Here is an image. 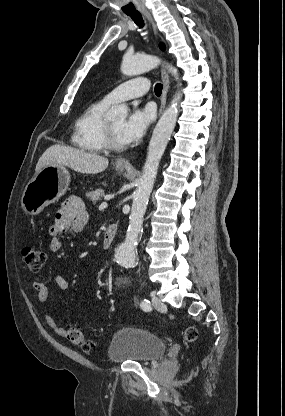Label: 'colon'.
<instances>
[{"label": "colon", "instance_id": "obj_1", "mask_svg": "<svg viewBox=\"0 0 285 416\" xmlns=\"http://www.w3.org/2000/svg\"><path fill=\"white\" fill-rule=\"evenodd\" d=\"M22 257L30 272L38 273L47 260L46 253L35 247H24L22 250ZM67 339L85 352H89L94 348V344L89 340L82 330L76 326H71L67 329ZM185 337L188 342H193L197 338V331L194 327H189L185 331Z\"/></svg>", "mask_w": 285, "mask_h": 416}]
</instances>
